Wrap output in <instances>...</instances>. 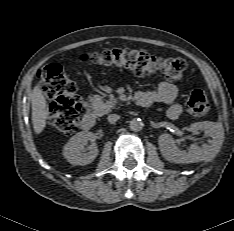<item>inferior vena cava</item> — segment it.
Instances as JSON below:
<instances>
[{"mask_svg": "<svg viewBox=\"0 0 234 231\" xmlns=\"http://www.w3.org/2000/svg\"><path fill=\"white\" fill-rule=\"evenodd\" d=\"M107 119L109 123L114 124L120 119V116L117 114H110Z\"/></svg>", "mask_w": 234, "mask_h": 231, "instance_id": "obj_1", "label": "inferior vena cava"}]
</instances>
